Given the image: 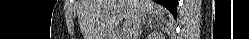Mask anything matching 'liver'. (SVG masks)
Here are the masks:
<instances>
[{
  "mask_svg": "<svg viewBox=\"0 0 249 39\" xmlns=\"http://www.w3.org/2000/svg\"><path fill=\"white\" fill-rule=\"evenodd\" d=\"M166 10L151 0H82L79 20L84 39H111L114 29L132 27L135 17L163 16Z\"/></svg>",
  "mask_w": 249,
  "mask_h": 39,
  "instance_id": "liver-1",
  "label": "liver"
}]
</instances>
